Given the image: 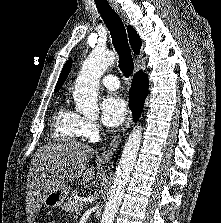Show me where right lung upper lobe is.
I'll return each instance as SVG.
<instances>
[{
  "label": "right lung upper lobe",
  "instance_id": "cb5924a9",
  "mask_svg": "<svg viewBox=\"0 0 221 223\" xmlns=\"http://www.w3.org/2000/svg\"><path fill=\"white\" fill-rule=\"evenodd\" d=\"M127 29H128V36H129L131 47L135 54H139L140 48H141V39L132 26L128 25ZM71 64H72V60H69L64 65L61 71L60 77L58 79L55 91H58L63 85L64 81L66 80L71 69Z\"/></svg>",
  "mask_w": 221,
  "mask_h": 223
}]
</instances>
